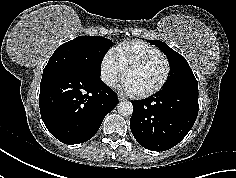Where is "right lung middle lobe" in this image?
<instances>
[{
    "mask_svg": "<svg viewBox=\"0 0 236 178\" xmlns=\"http://www.w3.org/2000/svg\"><path fill=\"white\" fill-rule=\"evenodd\" d=\"M113 42L99 36H79L58 47L50 57L43 73L72 71L100 77L101 61Z\"/></svg>",
    "mask_w": 236,
    "mask_h": 178,
    "instance_id": "obj_1",
    "label": "right lung middle lobe"
}]
</instances>
